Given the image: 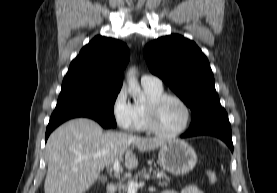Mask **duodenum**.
<instances>
[{
	"label": "duodenum",
	"instance_id": "1",
	"mask_svg": "<svg viewBox=\"0 0 277 193\" xmlns=\"http://www.w3.org/2000/svg\"><path fill=\"white\" fill-rule=\"evenodd\" d=\"M117 185L115 183H109L106 186V193H116Z\"/></svg>",
	"mask_w": 277,
	"mask_h": 193
}]
</instances>
